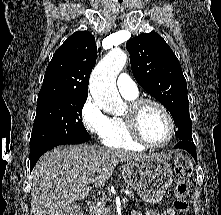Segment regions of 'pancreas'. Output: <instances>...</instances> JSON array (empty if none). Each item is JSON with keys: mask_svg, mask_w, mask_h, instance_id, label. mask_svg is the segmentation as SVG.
Masks as SVG:
<instances>
[{"mask_svg": "<svg viewBox=\"0 0 221 215\" xmlns=\"http://www.w3.org/2000/svg\"><path fill=\"white\" fill-rule=\"evenodd\" d=\"M126 189L127 190H131L129 187H126ZM128 198L129 199H134V194L133 193H130L129 195H128ZM108 199L105 197V196H103V197H101V201L102 202H105V201H107ZM89 215H109V211H106L104 214H98L97 212H95L93 209H90L89 210Z\"/></svg>", "mask_w": 221, "mask_h": 215, "instance_id": "1", "label": "pancreas"}]
</instances>
